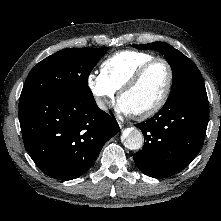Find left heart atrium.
<instances>
[{"instance_id":"1","label":"left heart atrium","mask_w":221,"mask_h":221,"mask_svg":"<svg viewBox=\"0 0 221 221\" xmlns=\"http://www.w3.org/2000/svg\"><path fill=\"white\" fill-rule=\"evenodd\" d=\"M118 109L120 112L128 115V114H131L132 112L130 111V109L121 101H119L118 103Z\"/></svg>"}]
</instances>
